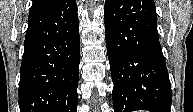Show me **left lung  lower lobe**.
Masks as SVG:
<instances>
[{
    "instance_id": "left-lung-lower-lobe-1",
    "label": "left lung lower lobe",
    "mask_w": 193,
    "mask_h": 112,
    "mask_svg": "<svg viewBox=\"0 0 193 112\" xmlns=\"http://www.w3.org/2000/svg\"><path fill=\"white\" fill-rule=\"evenodd\" d=\"M104 15L114 111L171 112L154 0H106Z\"/></svg>"
}]
</instances>
